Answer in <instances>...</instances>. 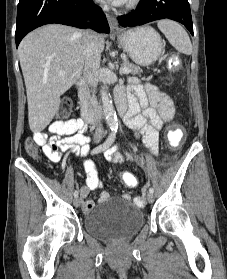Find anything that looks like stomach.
I'll list each match as a JSON object with an SVG mask.
<instances>
[{
	"label": "stomach",
	"instance_id": "1",
	"mask_svg": "<svg viewBox=\"0 0 227 279\" xmlns=\"http://www.w3.org/2000/svg\"><path fill=\"white\" fill-rule=\"evenodd\" d=\"M117 41L130 58L138 65L148 66L161 55L163 41L151 27H137L117 34Z\"/></svg>",
	"mask_w": 227,
	"mask_h": 279
}]
</instances>
